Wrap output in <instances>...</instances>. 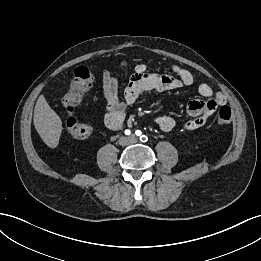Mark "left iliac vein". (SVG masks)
I'll return each instance as SVG.
<instances>
[{"mask_svg":"<svg viewBox=\"0 0 261 261\" xmlns=\"http://www.w3.org/2000/svg\"><path fill=\"white\" fill-rule=\"evenodd\" d=\"M129 140L132 142V143H134V142H137V137H135L134 135H131L130 137H129Z\"/></svg>","mask_w":261,"mask_h":261,"instance_id":"left-iliac-vein-1","label":"left iliac vein"}]
</instances>
